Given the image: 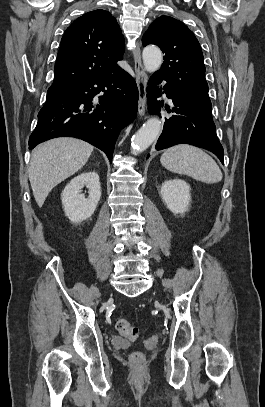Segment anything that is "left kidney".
<instances>
[{
  "label": "left kidney",
  "instance_id": "left-kidney-1",
  "mask_svg": "<svg viewBox=\"0 0 265 407\" xmlns=\"http://www.w3.org/2000/svg\"><path fill=\"white\" fill-rule=\"evenodd\" d=\"M161 197L172 213L183 214L191 200L190 185L181 179L167 180L161 186Z\"/></svg>",
  "mask_w": 265,
  "mask_h": 407
}]
</instances>
